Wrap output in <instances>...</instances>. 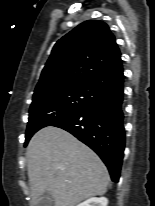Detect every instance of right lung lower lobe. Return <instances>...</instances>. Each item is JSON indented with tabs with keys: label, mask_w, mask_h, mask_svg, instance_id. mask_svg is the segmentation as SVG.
I'll return each mask as SVG.
<instances>
[{
	"label": "right lung lower lobe",
	"mask_w": 155,
	"mask_h": 206,
	"mask_svg": "<svg viewBox=\"0 0 155 206\" xmlns=\"http://www.w3.org/2000/svg\"><path fill=\"white\" fill-rule=\"evenodd\" d=\"M124 79L70 117L53 126L62 128L94 150L107 166L111 179L119 181L125 148Z\"/></svg>",
	"instance_id": "98d812e1"
}]
</instances>
